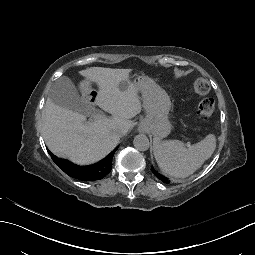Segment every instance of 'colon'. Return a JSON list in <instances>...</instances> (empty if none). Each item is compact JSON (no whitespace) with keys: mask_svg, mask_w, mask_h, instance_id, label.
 I'll list each match as a JSON object with an SVG mask.
<instances>
[{"mask_svg":"<svg viewBox=\"0 0 255 255\" xmlns=\"http://www.w3.org/2000/svg\"><path fill=\"white\" fill-rule=\"evenodd\" d=\"M193 91L197 95H206L210 90V85L207 80L203 78H197L192 85ZM215 103L213 99L206 98L202 100L197 109V118L199 120H205L211 117L214 112Z\"/></svg>","mask_w":255,"mask_h":255,"instance_id":"obj_1","label":"colon"}]
</instances>
